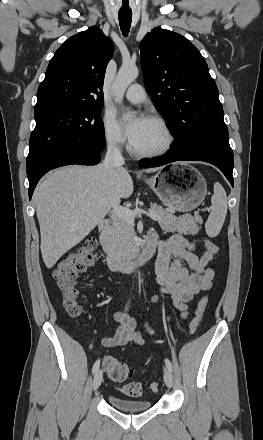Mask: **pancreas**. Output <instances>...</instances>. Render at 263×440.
<instances>
[{"mask_svg":"<svg viewBox=\"0 0 263 440\" xmlns=\"http://www.w3.org/2000/svg\"><path fill=\"white\" fill-rule=\"evenodd\" d=\"M161 217L158 221L161 229L166 232H178L185 235H195L199 232L203 220L200 215H182L176 217L157 204L151 205V210ZM133 224L116 217L109 232V248L111 254L117 259L130 257L137 251L136 235Z\"/></svg>","mask_w":263,"mask_h":440,"instance_id":"cf45deb5","label":"pancreas"}]
</instances>
